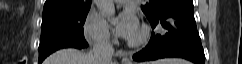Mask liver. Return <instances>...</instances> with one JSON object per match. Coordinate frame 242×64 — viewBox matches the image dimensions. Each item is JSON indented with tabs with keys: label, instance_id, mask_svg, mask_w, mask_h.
<instances>
[{
	"label": "liver",
	"instance_id": "obj_1",
	"mask_svg": "<svg viewBox=\"0 0 242 64\" xmlns=\"http://www.w3.org/2000/svg\"><path fill=\"white\" fill-rule=\"evenodd\" d=\"M43 64H97V61L91 54H83L76 49H62L51 54Z\"/></svg>",
	"mask_w": 242,
	"mask_h": 64
}]
</instances>
